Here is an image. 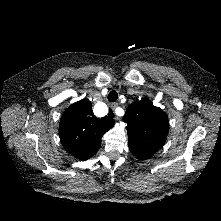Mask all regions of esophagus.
Wrapping results in <instances>:
<instances>
[{
	"label": "esophagus",
	"instance_id": "1",
	"mask_svg": "<svg viewBox=\"0 0 221 221\" xmlns=\"http://www.w3.org/2000/svg\"><path fill=\"white\" fill-rule=\"evenodd\" d=\"M118 103H112L111 105H110V109H111V112L114 114V119L116 120V121H118L119 120V117L115 114V109L118 107Z\"/></svg>",
	"mask_w": 221,
	"mask_h": 221
}]
</instances>
